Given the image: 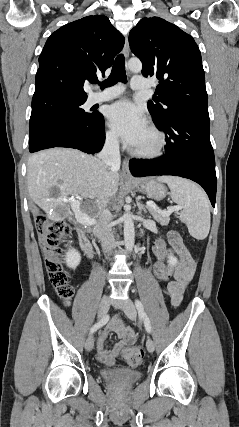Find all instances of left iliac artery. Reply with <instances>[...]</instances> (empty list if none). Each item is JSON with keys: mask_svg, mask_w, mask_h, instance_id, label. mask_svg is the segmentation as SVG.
<instances>
[{"mask_svg": "<svg viewBox=\"0 0 239 427\" xmlns=\"http://www.w3.org/2000/svg\"><path fill=\"white\" fill-rule=\"evenodd\" d=\"M135 305H136L139 317L144 321V325H145L147 332L150 333L151 332V323H150V320H149L147 314L144 311V307H143L142 302L140 300H136Z\"/></svg>", "mask_w": 239, "mask_h": 427, "instance_id": "obj_1", "label": "left iliac artery"}]
</instances>
